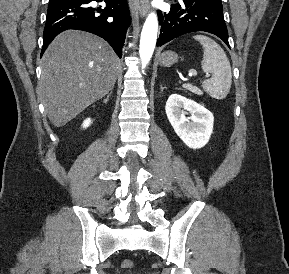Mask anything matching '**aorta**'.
<instances>
[{"label":"aorta","instance_id":"aorta-1","mask_svg":"<svg viewBox=\"0 0 289 274\" xmlns=\"http://www.w3.org/2000/svg\"><path fill=\"white\" fill-rule=\"evenodd\" d=\"M158 20L155 13H150L143 25L139 54L142 63V68H145L149 63L157 40Z\"/></svg>","mask_w":289,"mask_h":274}]
</instances>
